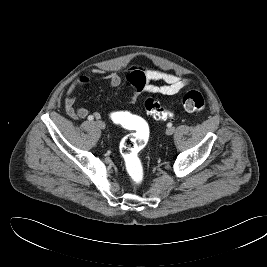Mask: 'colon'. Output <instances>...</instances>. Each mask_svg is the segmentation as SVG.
<instances>
[{
  "mask_svg": "<svg viewBox=\"0 0 267 267\" xmlns=\"http://www.w3.org/2000/svg\"><path fill=\"white\" fill-rule=\"evenodd\" d=\"M181 106L188 112H200L205 108V99L200 92L192 90L182 97ZM144 107L150 116L158 120H165L173 115L170 110L163 107L152 97L145 99ZM108 117L112 123L132 131L131 134L122 139L120 152L133 183L139 185L144 178L139 155L148 142L149 128L142 119L127 111L113 110L109 112Z\"/></svg>",
  "mask_w": 267,
  "mask_h": 267,
  "instance_id": "5ec220e1",
  "label": "colon"
}]
</instances>
